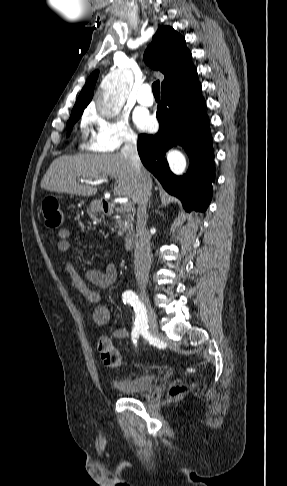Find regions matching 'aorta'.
<instances>
[{
	"instance_id": "obj_1",
	"label": "aorta",
	"mask_w": 287,
	"mask_h": 486,
	"mask_svg": "<svg viewBox=\"0 0 287 486\" xmlns=\"http://www.w3.org/2000/svg\"><path fill=\"white\" fill-rule=\"evenodd\" d=\"M131 89V80L127 73L115 72L109 75L102 84L97 108L106 117L116 116L123 107ZM175 174L183 173L185 163L178 160L171 164Z\"/></svg>"
}]
</instances>
